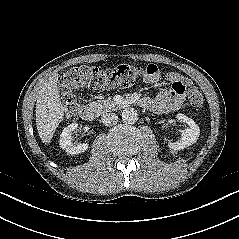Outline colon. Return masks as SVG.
<instances>
[{
	"label": "colon",
	"mask_w": 239,
	"mask_h": 239,
	"mask_svg": "<svg viewBox=\"0 0 239 239\" xmlns=\"http://www.w3.org/2000/svg\"><path fill=\"white\" fill-rule=\"evenodd\" d=\"M142 75V69L134 65H118L109 69L94 66H77L64 72L59 78V90L68 117L74 118L78 108L77 90L88 87L94 90L123 88L134 85ZM187 99L195 110H201L204 97L200 89H187Z\"/></svg>",
	"instance_id": "1"
}]
</instances>
